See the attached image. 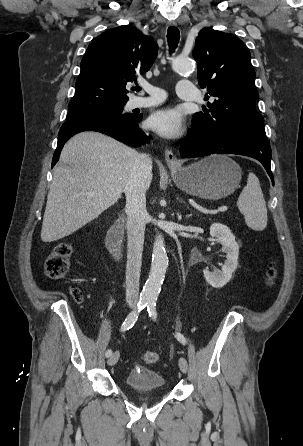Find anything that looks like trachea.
Listing matches in <instances>:
<instances>
[{"label": "trachea", "instance_id": "3493384b", "mask_svg": "<svg viewBox=\"0 0 303 446\" xmlns=\"http://www.w3.org/2000/svg\"><path fill=\"white\" fill-rule=\"evenodd\" d=\"M180 39L179 30L176 27H169L167 30V40L170 48V53H173L178 46ZM135 90L138 92L141 90L140 87H136Z\"/></svg>", "mask_w": 303, "mask_h": 446}]
</instances>
